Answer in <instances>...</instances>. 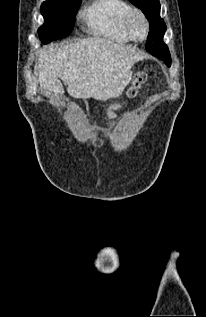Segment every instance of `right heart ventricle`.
I'll return each mask as SVG.
<instances>
[{
  "label": "right heart ventricle",
  "instance_id": "right-heart-ventricle-1",
  "mask_svg": "<svg viewBox=\"0 0 206 317\" xmlns=\"http://www.w3.org/2000/svg\"><path fill=\"white\" fill-rule=\"evenodd\" d=\"M127 0H93L82 11L89 31L117 43H128L131 38L124 30V18L131 9Z\"/></svg>",
  "mask_w": 206,
  "mask_h": 317
}]
</instances>
